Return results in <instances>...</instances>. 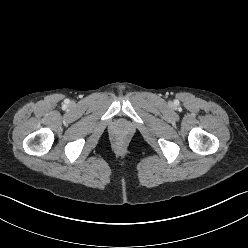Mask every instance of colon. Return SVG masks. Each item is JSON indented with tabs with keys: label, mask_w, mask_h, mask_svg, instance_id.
Segmentation results:
<instances>
[{
	"label": "colon",
	"mask_w": 248,
	"mask_h": 248,
	"mask_svg": "<svg viewBox=\"0 0 248 248\" xmlns=\"http://www.w3.org/2000/svg\"><path fill=\"white\" fill-rule=\"evenodd\" d=\"M118 147H119V148L123 147V143H122V142H119V143H118Z\"/></svg>",
	"instance_id": "obj_1"
}]
</instances>
